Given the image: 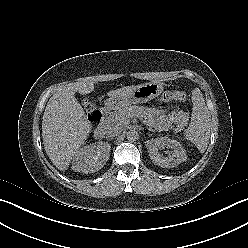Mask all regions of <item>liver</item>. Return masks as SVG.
Returning <instances> with one entry per match:
<instances>
[{
  "instance_id": "obj_1",
  "label": "liver",
  "mask_w": 248,
  "mask_h": 248,
  "mask_svg": "<svg viewBox=\"0 0 248 248\" xmlns=\"http://www.w3.org/2000/svg\"><path fill=\"white\" fill-rule=\"evenodd\" d=\"M137 86H127L108 92L109 97L122 96ZM93 83L75 82L63 86L49 99L42 121L44 149L60 171L69 167L72 157L79 151L92 130L85 112L75 98V92L89 94Z\"/></svg>"
}]
</instances>
